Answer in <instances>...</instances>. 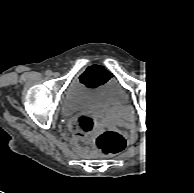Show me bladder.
<instances>
[{
  "label": "bladder",
  "instance_id": "31cf9c89",
  "mask_svg": "<svg viewBox=\"0 0 194 193\" xmlns=\"http://www.w3.org/2000/svg\"><path fill=\"white\" fill-rule=\"evenodd\" d=\"M87 88L83 83H78L70 87L67 91V97L76 105H81L86 101Z\"/></svg>",
  "mask_w": 194,
  "mask_h": 193
}]
</instances>
